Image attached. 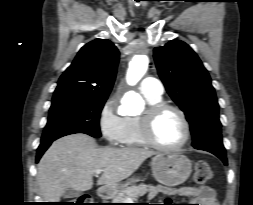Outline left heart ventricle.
I'll return each mask as SVG.
<instances>
[{
  "mask_svg": "<svg viewBox=\"0 0 253 205\" xmlns=\"http://www.w3.org/2000/svg\"><path fill=\"white\" fill-rule=\"evenodd\" d=\"M154 133L162 145L174 146L184 139L185 127L177 113L166 111L156 121Z\"/></svg>",
  "mask_w": 253,
  "mask_h": 205,
  "instance_id": "b2bd125f",
  "label": "left heart ventricle"
}]
</instances>
